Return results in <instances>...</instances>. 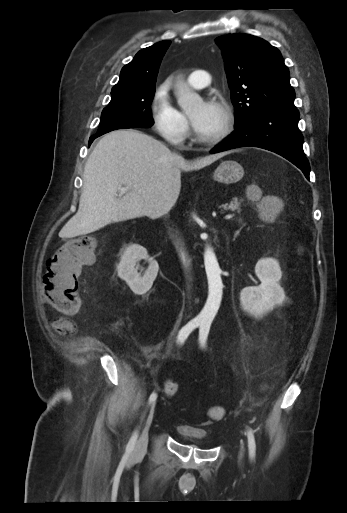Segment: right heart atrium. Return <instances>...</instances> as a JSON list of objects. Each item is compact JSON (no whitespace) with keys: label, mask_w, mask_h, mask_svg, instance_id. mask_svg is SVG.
<instances>
[{"label":"right heart atrium","mask_w":347,"mask_h":513,"mask_svg":"<svg viewBox=\"0 0 347 513\" xmlns=\"http://www.w3.org/2000/svg\"><path fill=\"white\" fill-rule=\"evenodd\" d=\"M150 116L155 132L170 145L181 146L190 133L187 117L170 100L166 81L153 93Z\"/></svg>","instance_id":"right-heart-atrium-1"}]
</instances>
